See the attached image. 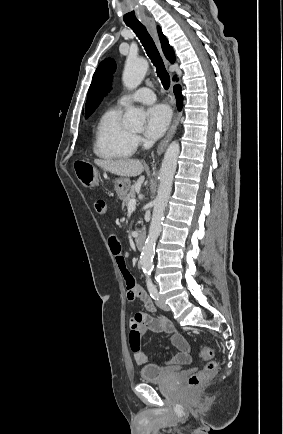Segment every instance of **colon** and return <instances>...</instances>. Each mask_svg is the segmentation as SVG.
<instances>
[{
  "label": "colon",
  "instance_id": "colon-1",
  "mask_svg": "<svg viewBox=\"0 0 283 434\" xmlns=\"http://www.w3.org/2000/svg\"><path fill=\"white\" fill-rule=\"evenodd\" d=\"M75 170L79 181L87 188H95L99 184V176L96 169L89 163L77 162ZM199 356L203 361H206L204 368L191 375L188 379V385L191 388H196L203 383L212 379L217 372V364L212 360L213 349L209 346H204L199 351Z\"/></svg>",
  "mask_w": 283,
  "mask_h": 434
}]
</instances>
